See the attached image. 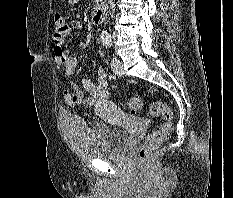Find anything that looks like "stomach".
Returning a JSON list of instances; mask_svg holds the SVG:
<instances>
[{
    "label": "stomach",
    "mask_w": 233,
    "mask_h": 198,
    "mask_svg": "<svg viewBox=\"0 0 233 198\" xmlns=\"http://www.w3.org/2000/svg\"><path fill=\"white\" fill-rule=\"evenodd\" d=\"M80 0H68V3L70 4V5H74V4H76V3H78Z\"/></svg>",
    "instance_id": "0dacf381"
}]
</instances>
